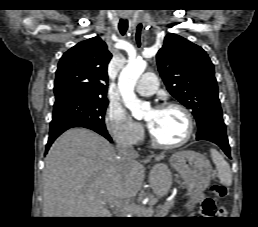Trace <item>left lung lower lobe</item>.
Listing matches in <instances>:
<instances>
[{
    "instance_id": "1",
    "label": "left lung lower lobe",
    "mask_w": 258,
    "mask_h": 227,
    "mask_svg": "<svg viewBox=\"0 0 258 227\" xmlns=\"http://www.w3.org/2000/svg\"><path fill=\"white\" fill-rule=\"evenodd\" d=\"M197 140H207L217 144L225 154L230 157V146L226 132L212 131L204 134L201 137H196Z\"/></svg>"
}]
</instances>
